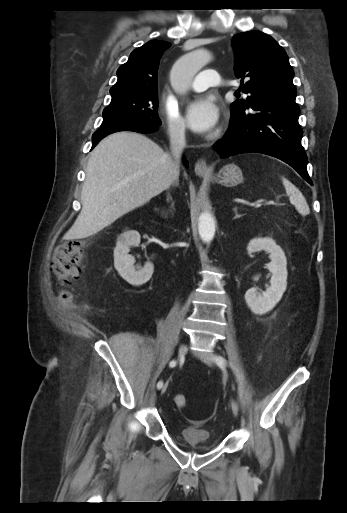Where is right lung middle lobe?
Returning a JSON list of instances; mask_svg holds the SVG:
<instances>
[{"label":"right lung middle lobe","instance_id":"obj_1","mask_svg":"<svg viewBox=\"0 0 347 513\" xmlns=\"http://www.w3.org/2000/svg\"><path fill=\"white\" fill-rule=\"evenodd\" d=\"M157 108V90L113 94L109 106L103 111L101 127L119 122H140L160 126Z\"/></svg>","mask_w":347,"mask_h":513}]
</instances>
